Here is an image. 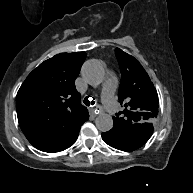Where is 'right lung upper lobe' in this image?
Returning a JSON list of instances; mask_svg holds the SVG:
<instances>
[{
    "instance_id": "obj_1",
    "label": "right lung upper lobe",
    "mask_w": 193,
    "mask_h": 193,
    "mask_svg": "<svg viewBox=\"0 0 193 193\" xmlns=\"http://www.w3.org/2000/svg\"><path fill=\"white\" fill-rule=\"evenodd\" d=\"M85 58V52L55 55L35 68L21 85L18 122L35 148L58 152L70 147L88 120V110L81 105L74 84Z\"/></svg>"
}]
</instances>
